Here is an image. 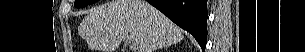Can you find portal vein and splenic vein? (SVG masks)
Returning <instances> with one entry per match:
<instances>
[{
	"label": "portal vein and splenic vein",
	"instance_id": "portal-vein-and-splenic-vein-1",
	"mask_svg": "<svg viewBox=\"0 0 305 52\" xmlns=\"http://www.w3.org/2000/svg\"><path fill=\"white\" fill-rule=\"evenodd\" d=\"M130 43V49L134 50L136 48V44L133 41L127 40Z\"/></svg>",
	"mask_w": 305,
	"mask_h": 52
}]
</instances>
